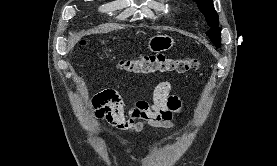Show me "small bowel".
<instances>
[{
    "label": "small bowel",
    "mask_w": 277,
    "mask_h": 166,
    "mask_svg": "<svg viewBox=\"0 0 277 166\" xmlns=\"http://www.w3.org/2000/svg\"><path fill=\"white\" fill-rule=\"evenodd\" d=\"M169 82H160L154 89L150 101L139 100L124 116L123 101L114 89H105L92 99L96 118L105 119L118 129L139 134L144 127L171 129L174 127L173 113L180 108V101L171 95Z\"/></svg>",
    "instance_id": "obj_1"
}]
</instances>
